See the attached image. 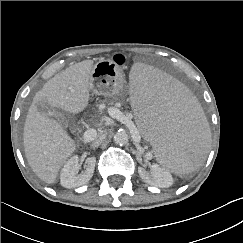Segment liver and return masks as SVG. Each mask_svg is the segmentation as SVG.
Instances as JSON below:
<instances>
[{"label":"liver","mask_w":243,"mask_h":243,"mask_svg":"<svg viewBox=\"0 0 243 243\" xmlns=\"http://www.w3.org/2000/svg\"><path fill=\"white\" fill-rule=\"evenodd\" d=\"M93 63H76L51 78L28 110L23 133L25 156L33 172L48 184L55 182L60 168L75 152L76 143L56 120L39 112L36 104L46 101L66 112H82L90 99Z\"/></svg>","instance_id":"6515ba94"}]
</instances>
